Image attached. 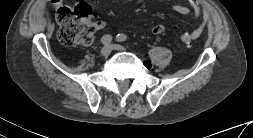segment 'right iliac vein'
Returning <instances> with one entry per match:
<instances>
[{"instance_id": "right-iliac-vein-1", "label": "right iliac vein", "mask_w": 253, "mask_h": 138, "mask_svg": "<svg viewBox=\"0 0 253 138\" xmlns=\"http://www.w3.org/2000/svg\"><path fill=\"white\" fill-rule=\"evenodd\" d=\"M111 51H112V46H111V45H105V46L101 49L100 53H101V55H102L103 57H107V56L110 55Z\"/></svg>"}]
</instances>
